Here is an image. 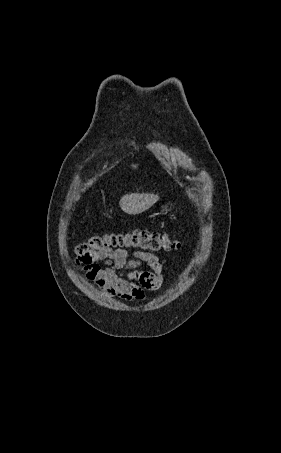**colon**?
Wrapping results in <instances>:
<instances>
[{
	"mask_svg": "<svg viewBox=\"0 0 281 453\" xmlns=\"http://www.w3.org/2000/svg\"><path fill=\"white\" fill-rule=\"evenodd\" d=\"M120 245L129 250H154V253L176 251L179 243L168 238L163 232L132 227L124 233L96 235L89 238L79 249L78 258L82 262L106 261L105 249Z\"/></svg>",
	"mask_w": 281,
	"mask_h": 453,
	"instance_id": "5ec220e1",
	"label": "colon"
}]
</instances>
